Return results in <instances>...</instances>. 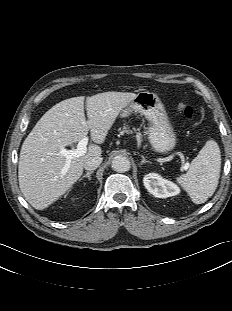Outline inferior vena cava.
<instances>
[{
	"label": "inferior vena cava",
	"instance_id": "inferior-vena-cava-1",
	"mask_svg": "<svg viewBox=\"0 0 232 311\" xmlns=\"http://www.w3.org/2000/svg\"><path fill=\"white\" fill-rule=\"evenodd\" d=\"M102 160L101 156L90 157L85 161L84 168L88 171L95 170L102 163Z\"/></svg>",
	"mask_w": 232,
	"mask_h": 311
}]
</instances>
